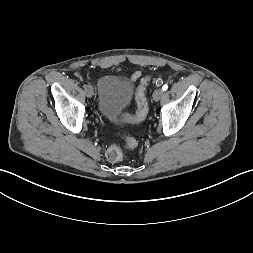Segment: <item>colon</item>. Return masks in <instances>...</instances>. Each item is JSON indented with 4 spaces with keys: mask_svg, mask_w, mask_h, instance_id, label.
Instances as JSON below:
<instances>
[{
    "mask_svg": "<svg viewBox=\"0 0 253 253\" xmlns=\"http://www.w3.org/2000/svg\"><path fill=\"white\" fill-rule=\"evenodd\" d=\"M148 79L145 78L141 81L140 85L137 88L136 91V111L134 114L127 113L125 115V120L131 123H140L142 122L146 115L148 110V104L145 97V87L147 85ZM135 146V141L131 137H127V144L126 148H132ZM123 148L117 145L110 146L106 151V158L108 161L112 163L119 162L123 159Z\"/></svg>",
    "mask_w": 253,
    "mask_h": 253,
    "instance_id": "obj_1",
    "label": "colon"
}]
</instances>
